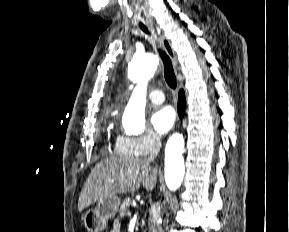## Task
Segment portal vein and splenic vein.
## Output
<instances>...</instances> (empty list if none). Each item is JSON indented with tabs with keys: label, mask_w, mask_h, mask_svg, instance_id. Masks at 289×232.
I'll return each mask as SVG.
<instances>
[{
	"label": "portal vein and splenic vein",
	"mask_w": 289,
	"mask_h": 232,
	"mask_svg": "<svg viewBox=\"0 0 289 232\" xmlns=\"http://www.w3.org/2000/svg\"><path fill=\"white\" fill-rule=\"evenodd\" d=\"M108 181H109V182H113V180H108ZM132 206H133V207H136V206H137V203H136L135 201H133Z\"/></svg>",
	"instance_id": "18ae733b"
}]
</instances>
